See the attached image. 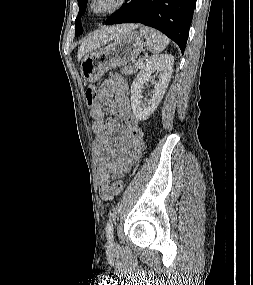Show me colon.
<instances>
[{
	"instance_id": "obj_1",
	"label": "colon",
	"mask_w": 253,
	"mask_h": 285,
	"mask_svg": "<svg viewBox=\"0 0 253 285\" xmlns=\"http://www.w3.org/2000/svg\"><path fill=\"white\" fill-rule=\"evenodd\" d=\"M85 98H86V102L89 106H91L95 102V100L97 98V91L93 85H90L87 88V90L85 92ZM123 186H124V184H123L122 180H117L113 184V188L117 194H119L123 190Z\"/></svg>"
}]
</instances>
